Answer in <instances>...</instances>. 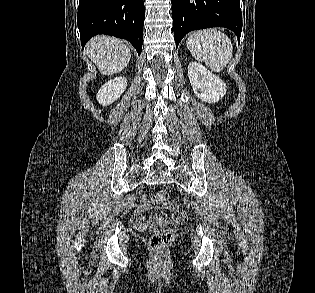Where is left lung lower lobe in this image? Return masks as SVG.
I'll return each mask as SVG.
<instances>
[{
	"mask_svg": "<svg viewBox=\"0 0 315 293\" xmlns=\"http://www.w3.org/2000/svg\"><path fill=\"white\" fill-rule=\"evenodd\" d=\"M176 48L190 31L225 27L240 39L242 13L239 0H172Z\"/></svg>",
	"mask_w": 315,
	"mask_h": 293,
	"instance_id": "obj_1",
	"label": "left lung lower lobe"
}]
</instances>
